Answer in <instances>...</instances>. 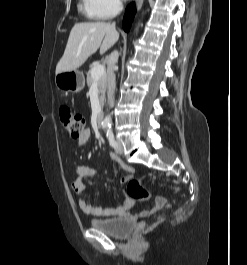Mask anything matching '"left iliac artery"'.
<instances>
[{
    "mask_svg": "<svg viewBox=\"0 0 247 265\" xmlns=\"http://www.w3.org/2000/svg\"><path fill=\"white\" fill-rule=\"evenodd\" d=\"M106 136L109 140V144L112 146V147H116L117 146V143L115 141V138H114V134L111 130V126L109 125V128L107 129V132H106Z\"/></svg>",
    "mask_w": 247,
    "mask_h": 265,
    "instance_id": "obj_1",
    "label": "left iliac artery"
}]
</instances>
